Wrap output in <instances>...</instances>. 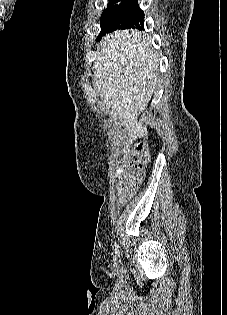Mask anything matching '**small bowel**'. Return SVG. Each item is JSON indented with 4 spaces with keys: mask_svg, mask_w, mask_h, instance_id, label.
<instances>
[{
    "mask_svg": "<svg viewBox=\"0 0 227 315\" xmlns=\"http://www.w3.org/2000/svg\"><path fill=\"white\" fill-rule=\"evenodd\" d=\"M134 191L135 188L129 184H121L117 187V193L123 199L129 198L134 193Z\"/></svg>",
    "mask_w": 227,
    "mask_h": 315,
    "instance_id": "1",
    "label": "small bowel"
}]
</instances>
